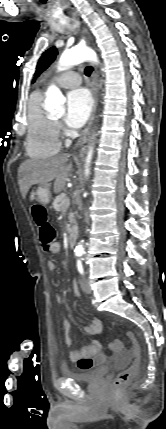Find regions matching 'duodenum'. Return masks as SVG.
Masks as SVG:
<instances>
[{"label": "duodenum", "mask_w": 166, "mask_h": 429, "mask_svg": "<svg viewBox=\"0 0 166 429\" xmlns=\"http://www.w3.org/2000/svg\"><path fill=\"white\" fill-rule=\"evenodd\" d=\"M67 239H68V244H69L71 247H74V245H75V243H76V231H75V229H71V230L68 232Z\"/></svg>", "instance_id": "410a0bca"}]
</instances>
